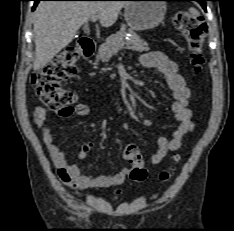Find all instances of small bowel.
<instances>
[{"mask_svg": "<svg viewBox=\"0 0 234 231\" xmlns=\"http://www.w3.org/2000/svg\"><path fill=\"white\" fill-rule=\"evenodd\" d=\"M141 64L144 67L157 69L165 77L174 96L170 116L179 122L171 139L159 137L156 141L157 150L151 157V163L159 164L168 154L177 152L182 146L184 136L195 129L192 111L189 108L190 89L185 79L178 73L177 64L164 53H146L141 57ZM49 114L50 111L47 108L37 107L34 112V123L41 132L43 142L56 167L58 178L64 186L83 191L89 188H119L125 182L129 174L127 167H120L109 175H93L83 173L77 163H69L65 151L54 140L53 131L48 124ZM89 114L90 107L86 104H77L72 108L59 111L62 117L72 115L83 117ZM94 147L93 141L84 142L77 153V158L84 159ZM116 193L120 194L121 190L118 189Z\"/></svg>", "mask_w": 234, "mask_h": 231, "instance_id": "1", "label": "small bowel"}]
</instances>
